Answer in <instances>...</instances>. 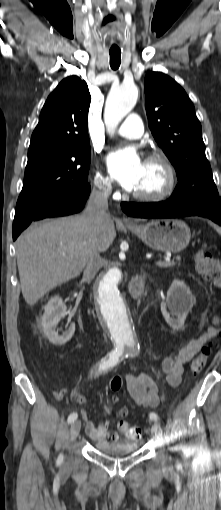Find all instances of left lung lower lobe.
<instances>
[{"instance_id": "1", "label": "left lung lower lobe", "mask_w": 221, "mask_h": 510, "mask_svg": "<svg viewBox=\"0 0 221 510\" xmlns=\"http://www.w3.org/2000/svg\"><path fill=\"white\" fill-rule=\"evenodd\" d=\"M122 210L129 216L140 218H176L184 216H202L221 225V206L180 205L165 202L157 203H127L121 204Z\"/></svg>"}]
</instances>
